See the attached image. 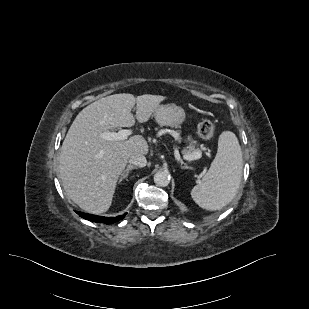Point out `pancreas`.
Instances as JSON below:
<instances>
[{"label": "pancreas", "instance_id": "pancreas-1", "mask_svg": "<svg viewBox=\"0 0 309 309\" xmlns=\"http://www.w3.org/2000/svg\"><path fill=\"white\" fill-rule=\"evenodd\" d=\"M174 135L178 138H179V135H180V132L179 131H175L174 132ZM188 141H189V145L183 149L182 153L186 156V155H190V154H193L194 152H201L198 148H196V145H197V141L195 140H192L191 138H188Z\"/></svg>", "mask_w": 309, "mask_h": 309}]
</instances>
